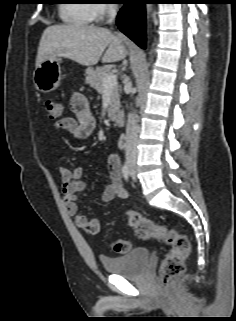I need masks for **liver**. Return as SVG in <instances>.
Instances as JSON below:
<instances>
[{
    "instance_id": "1",
    "label": "liver",
    "mask_w": 236,
    "mask_h": 321,
    "mask_svg": "<svg viewBox=\"0 0 236 321\" xmlns=\"http://www.w3.org/2000/svg\"><path fill=\"white\" fill-rule=\"evenodd\" d=\"M127 55L120 37L106 28L92 25H54L40 39L36 68L48 59L68 58L84 66L114 63Z\"/></svg>"
}]
</instances>
